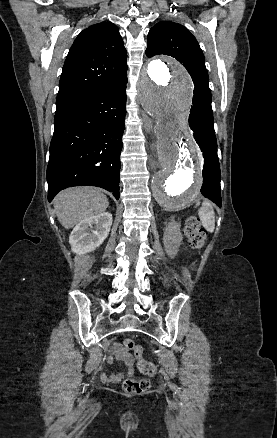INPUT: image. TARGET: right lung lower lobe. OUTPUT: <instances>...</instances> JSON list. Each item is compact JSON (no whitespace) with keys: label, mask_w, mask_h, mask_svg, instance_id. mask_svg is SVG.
I'll return each instance as SVG.
<instances>
[{"label":"right lung lower lobe","mask_w":277,"mask_h":438,"mask_svg":"<svg viewBox=\"0 0 277 438\" xmlns=\"http://www.w3.org/2000/svg\"><path fill=\"white\" fill-rule=\"evenodd\" d=\"M111 65L95 70H110ZM126 83L125 74L56 107L47 167L49 202L60 190L79 185L104 188L119 199Z\"/></svg>","instance_id":"98d812e1"}]
</instances>
